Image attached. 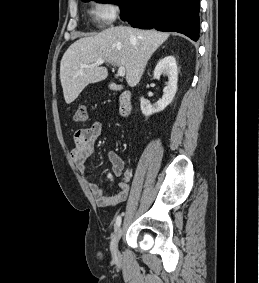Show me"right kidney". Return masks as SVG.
<instances>
[{"mask_svg":"<svg viewBox=\"0 0 259 283\" xmlns=\"http://www.w3.org/2000/svg\"><path fill=\"white\" fill-rule=\"evenodd\" d=\"M168 76L167 86L164 88L162 98L154 105L146 102L144 97L140 98V108L145 116L164 110L172 101L177 92L178 68L174 56L161 59L154 69V78L159 79L161 75Z\"/></svg>","mask_w":259,"mask_h":283,"instance_id":"ca27d5eb","label":"right kidney"}]
</instances>
